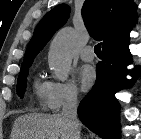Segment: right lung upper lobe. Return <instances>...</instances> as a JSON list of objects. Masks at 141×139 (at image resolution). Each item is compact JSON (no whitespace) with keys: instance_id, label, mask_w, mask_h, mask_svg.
I'll return each mask as SVG.
<instances>
[{"instance_id":"right-lung-upper-lobe-1","label":"right lung upper lobe","mask_w":141,"mask_h":139,"mask_svg":"<svg viewBox=\"0 0 141 139\" xmlns=\"http://www.w3.org/2000/svg\"><path fill=\"white\" fill-rule=\"evenodd\" d=\"M136 9L137 6L132 0H86L82 16L93 38L103 40L104 48L129 36L130 24L137 21ZM68 16L69 7L61 4L43 17L29 42L21 67L31 66L34 57L54 32L65 24Z\"/></svg>"}]
</instances>
